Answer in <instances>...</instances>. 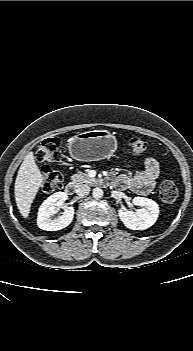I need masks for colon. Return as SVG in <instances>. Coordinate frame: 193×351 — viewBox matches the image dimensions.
<instances>
[{
	"instance_id": "colon-1",
	"label": "colon",
	"mask_w": 193,
	"mask_h": 351,
	"mask_svg": "<svg viewBox=\"0 0 193 351\" xmlns=\"http://www.w3.org/2000/svg\"><path fill=\"white\" fill-rule=\"evenodd\" d=\"M128 147L131 154L138 156L143 154L147 150V143L145 140L132 137L128 141ZM60 141L56 137H51L43 140L37 150L36 157L40 162H51L59 153ZM63 181V175L60 171L55 169H46L43 172L42 179V192L51 193L54 192ZM160 198L167 203H171L176 200L178 196V189L176 184L172 180H164L159 186Z\"/></svg>"
}]
</instances>
